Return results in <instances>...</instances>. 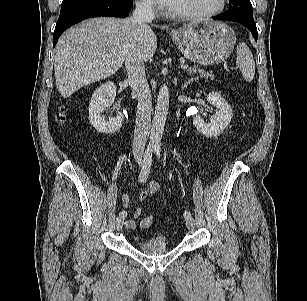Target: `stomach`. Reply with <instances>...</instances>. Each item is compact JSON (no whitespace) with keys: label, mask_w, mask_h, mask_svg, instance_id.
I'll return each instance as SVG.
<instances>
[{"label":"stomach","mask_w":307,"mask_h":301,"mask_svg":"<svg viewBox=\"0 0 307 301\" xmlns=\"http://www.w3.org/2000/svg\"><path fill=\"white\" fill-rule=\"evenodd\" d=\"M181 53L189 60L202 64H218L234 49L236 35L222 22L189 23L171 32Z\"/></svg>","instance_id":"1"}]
</instances>
